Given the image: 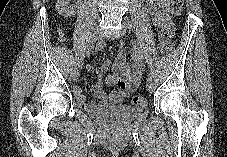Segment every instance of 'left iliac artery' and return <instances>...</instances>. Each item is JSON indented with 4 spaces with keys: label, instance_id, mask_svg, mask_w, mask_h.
<instances>
[{
    "label": "left iliac artery",
    "instance_id": "left-iliac-artery-1",
    "mask_svg": "<svg viewBox=\"0 0 227 157\" xmlns=\"http://www.w3.org/2000/svg\"><path fill=\"white\" fill-rule=\"evenodd\" d=\"M126 28H128L129 30L133 29V25H132V23L128 21V23H127V27H126ZM147 77H148V81H150V80H152V79H153V76H152V74H151V73H148Z\"/></svg>",
    "mask_w": 227,
    "mask_h": 157
}]
</instances>
